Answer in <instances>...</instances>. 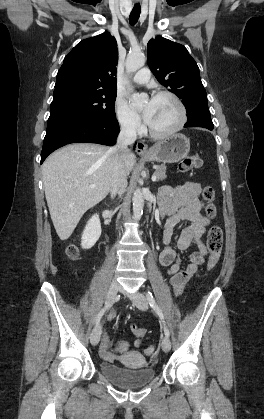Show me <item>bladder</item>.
I'll use <instances>...</instances> for the list:
<instances>
[{
	"mask_svg": "<svg viewBox=\"0 0 264 419\" xmlns=\"http://www.w3.org/2000/svg\"><path fill=\"white\" fill-rule=\"evenodd\" d=\"M99 370L107 379L124 389L143 387L153 381L156 375L154 368L144 363L139 367H123L102 361Z\"/></svg>",
	"mask_w": 264,
	"mask_h": 419,
	"instance_id": "bladder-1",
	"label": "bladder"
}]
</instances>
